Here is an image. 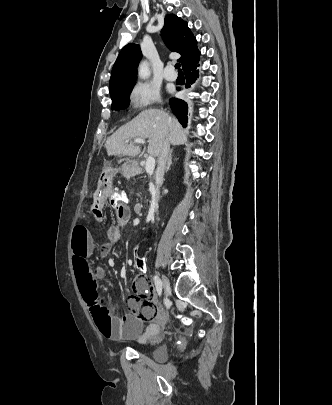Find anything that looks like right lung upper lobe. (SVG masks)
<instances>
[{
    "label": "right lung upper lobe",
    "mask_w": 332,
    "mask_h": 405,
    "mask_svg": "<svg viewBox=\"0 0 332 405\" xmlns=\"http://www.w3.org/2000/svg\"><path fill=\"white\" fill-rule=\"evenodd\" d=\"M168 48L181 54L178 59L182 67L199 59L200 52L197 42L187 23L174 14L166 15L162 29ZM142 57L140 46L130 43L119 53L111 73L110 89L122 82L136 80L137 66Z\"/></svg>",
    "instance_id": "cb5924a9"
}]
</instances>
